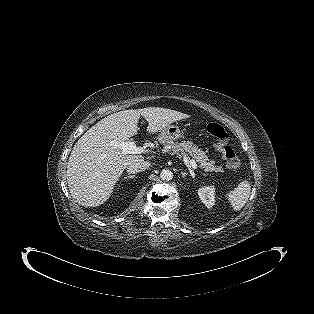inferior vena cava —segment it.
<instances>
[{"label": "inferior vena cava", "mask_w": 314, "mask_h": 314, "mask_svg": "<svg viewBox=\"0 0 314 314\" xmlns=\"http://www.w3.org/2000/svg\"><path fill=\"white\" fill-rule=\"evenodd\" d=\"M149 167V163L141 160V161H136V162H132L127 166V172L129 174H135V173H139L142 172L144 170H146Z\"/></svg>", "instance_id": "602c4592"}]
</instances>
